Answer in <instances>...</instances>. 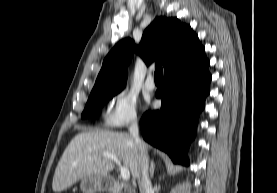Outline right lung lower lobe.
I'll use <instances>...</instances> for the list:
<instances>
[{
  "mask_svg": "<svg viewBox=\"0 0 277 193\" xmlns=\"http://www.w3.org/2000/svg\"><path fill=\"white\" fill-rule=\"evenodd\" d=\"M209 61L202 47L192 57L164 74V86L156 92L161 109L146 112L140 127L143 138L166 152L173 162L188 164L187 150L195 137L200 112L209 94Z\"/></svg>",
  "mask_w": 277,
  "mask_h": 193,
  "instance_id": "1",
  "label": "right lung lower lobe"
}]
</instances>
